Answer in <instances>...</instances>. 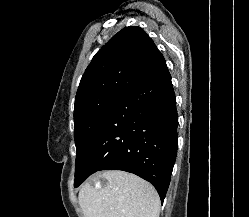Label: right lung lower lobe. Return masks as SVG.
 <instances>
[{
    "label": "right lung lower lobe",
    "instance_id": "98d812e1",
    "mask_svg": "<svg viewBox=\"0 0 249 217\" xmlns=\"http://www.w3.org/2000/svg\"><path fill=\"white\" fill-rule=\"evenodd\" d=\"M178 114L165 59L127 91L89 144L79 165L78 187L107 169L149 181L163 202L177 153Z\"/></svg>",
    "mask_w": 249,
    "mask_h": 217
}]
</instances>
